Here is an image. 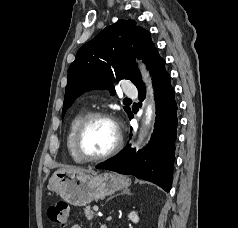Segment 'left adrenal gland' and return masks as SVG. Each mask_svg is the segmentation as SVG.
I'll return each mask as SVG.
<instances>
[{
    "label": "left adrenal gland",
    "instance_id": "a2214340",
    "mask_svg": "<svg viewBox=\"0 0 238 228\" xmlns=\"http://www.w3.org/2000/svg\"><path fill=\"white\" fill-rule=\"evenodd\" d=\"M123 194L130 195L131 192H130V190H124V191H122V192H121L120 194H118V195H123Z\"/></svg>",
    "mask_w": 238,
    "mask_h": 228
}]
</instances>
